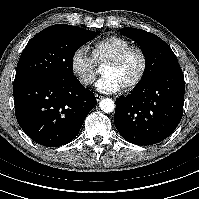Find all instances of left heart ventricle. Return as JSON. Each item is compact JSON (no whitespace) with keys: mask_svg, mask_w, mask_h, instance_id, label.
Segmentation results:
<instances>
[{"mask_svg":"<svg viewBox=\"0 0 199 199\" xmlns=\"http://www.w3.org/2000/svg\"><path fill=\"white\" fill-rule=\"evenodd\" d=\"M141 69V56L137 51L130 52L123 62L115 68H103V76L112 77L121 87L132 81Z\"/></svg>","mask_w":199,"mask_h":199,"instance_id":"obj_1","label":"left heart ventricle"}]
</instances>
